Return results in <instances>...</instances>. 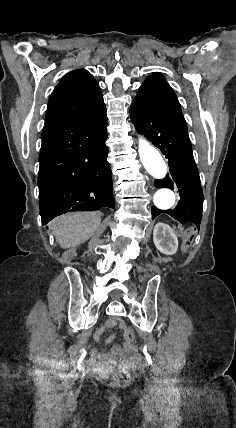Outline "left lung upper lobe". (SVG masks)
<instances>
[{"label": "left lung upper lobe", "instance_id": "1", "mask_svg": "<svg viewBox=\"0 0 236 428\" xmlns=\"http://www.w3.org/2000/svg\"><path fill=\"white\" fill-rule=\"evenodd\" d=\"M131 107L153 113L174 114L183 117L175 93L163 76L158 74L146 78Z\"/></svg>", "mask_w": 236, "mask_h": 428}]
</instances>
